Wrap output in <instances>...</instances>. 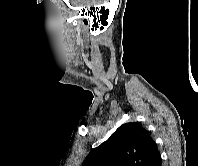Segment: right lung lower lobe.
I'll return each mask as SVG.
<instances>
[{
	"mask_svg": "<svg viewBox=\"0 0 198 166\" xmlns=\"http://www.w3.org/2000/svg\"><path fill=\"white\" fill-rule=\"evenodd\" d=\"M148 166H161V156H160V154L155 156Z\"/></svg>",
	"mask_w": 198,
	"mask_h": 166,
	"instance_id": "obj_1",
	"label": "right lung lower lobe"
}]
</instances>
